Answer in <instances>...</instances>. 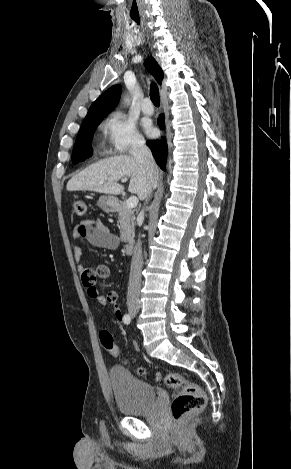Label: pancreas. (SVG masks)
<instances>
[{
	"mask_svg": "<svg viewBox=\"0 0 291 469\" xmlns=\"http://www.w3.org/2000/svg\"><path fill=\"white\" fill-rule=\"evenodd\" d=\"M117 212L121 241L132 243L135 234L134 213L124 202L120 204Z\"/></svg>",
	"mask_w": 291,
	"mask_h": 469,
	"instance_id": "cf45deb5",
	"label": "pancreas"
}]
</instances>
